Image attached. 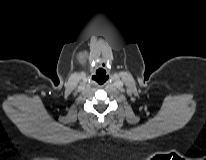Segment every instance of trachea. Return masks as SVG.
Wrapping results in <instances>:
<instances>
[{"label": "trachea", "mask_w": 206, "mask_h": 160, "mask_svg": "<svg viewBox=\"0 0 206 160\" xmlns=\"http://www.w3.org/2000/svg\"><path fill=\"white\" fill-rule=\"evenodd\" d=\"M97 76H94L93 79L96 80L99 84H103L105 82L106 71L104 72H96Z\"/></svg>", "instance_id": "1"}]
</instances>
